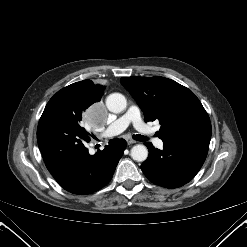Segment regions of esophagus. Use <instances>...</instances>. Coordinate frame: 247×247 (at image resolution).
<instances>
[{
    "label": "esophagus",
    "instance_id": "obj_1",
    "mask_svg": "<svg viewBox=\"0 0 247 247\" xmlns=\"http://www.w3.org/2000/svg\"><path fill=\"white\" fill-rule=\"evenodd\" d=\"M126 141H127V144H128V145H131V144L136 143V141H135V140L130 139V138H127V139H126Z\"/></svg>",
    "mask_w": 247,
    "mask_h": 247
}]
</instances>
